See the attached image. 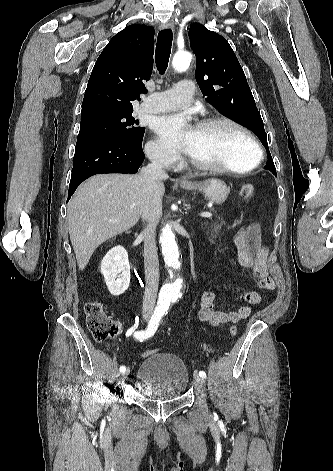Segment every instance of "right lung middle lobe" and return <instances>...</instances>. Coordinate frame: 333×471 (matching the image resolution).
Instances as JSON below:
<instances>
[{"mask_svg": "<svg viewBox=\"0 0 333 471\" xmlns=\"http://www.w3.org/2000/svg\"><path fill=\"white\" fill-rule=\"evenodd\" d=\"M133 109L107 112L81 118L78 137L94 134L112 135L129 142L141 144L145 128L132 117Z\"/></svg>", "mask_w": 333, "mask_h": 471, "instance_id": "1", "label": "right lung middle lobe"}]
</instances>
